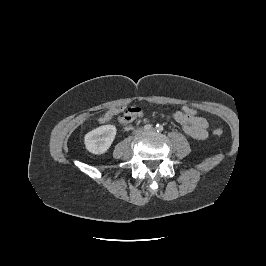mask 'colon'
<instances>
[{
  "mask_svg": "<svg viewBox=\"0 0 266 266\" xmlns=\"http://www.w3.org/2000/svg\"><path fill=\"white\" fill-rule=\"evenodd\" d=\"M180 111L188 117H198L199 116L197 109L192 107V106L184 105L181 107ZM131 118H132V111L130 108L118 115V119L122 123L128 122ZM213 133L216 136H221L223 131H222V129L218 128V129H215L213 131Z\"/></svg>",
  "mask_w": 266,
  "mask_h": 266,
  "instance_id": "5ec220e1",
  "label": "colon"
}]
</instances>
